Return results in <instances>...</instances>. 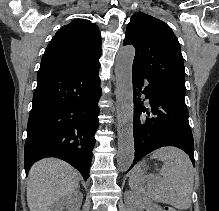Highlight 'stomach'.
Instances as JSON below:
<instances>
[{
    "instance_id": "stomach-1",
    "label": "stomach",
    "mask_w": 219,
    "mask_h": 211,
    "mask_svg": "<svg viewBox=\"0 0 219 211\" xmlns=\"http://www.w3.org/2000/svg\"><path fill=\"white\" fill-rule=\"evenodd\" d=\"M141 165H142L143 167L145 166V164H144V163H142Z\"/></svg>"
}]
</instances>
